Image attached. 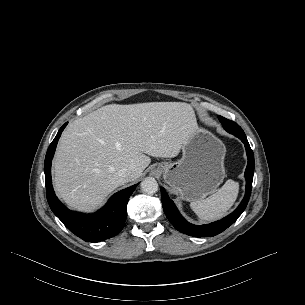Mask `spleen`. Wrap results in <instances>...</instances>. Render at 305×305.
Instances as JSON below:
<instances>
[{
	"label": "spleen",
	"mask_w": 305,
	"mask_h": 305,
	"mask_svg": "<svg viewBox=\"0 0 305 305\" xmlns=\"http://www.w3.org/2000/svg\"><path fill=\"white\" fill-rule=\"evenodd\" d=\"M238 191L239 184L233 180H227L216 193L206 199L191 202L190 207L200 219L215 221L221 219L232 207Z\"/></svg>",
	"instance_id": "obj_1"
}]
</instances>
